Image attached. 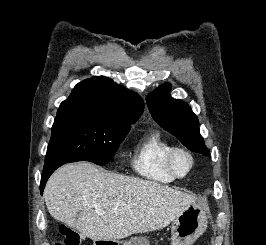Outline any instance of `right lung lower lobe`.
<instances>
[{"instance_id":"obj_1","label":"right lung lower lobe","mask_w":266,"mask_h":245,"mask_svg":"<svg viewBox=\"0 0 266 245\" xmlns=\"http://www.w3.org/2000/svg\"><path fill=\"white\" fill-rule=\"evenodd\" d=\"M61 165H63V164L62 163H58V164H55V165L48 166V167L44 168V170L42 172L41 184H40L41 195L43 194V190H44V187H45V184H46L48 178Z\"/></svg>"}]
</instances>
